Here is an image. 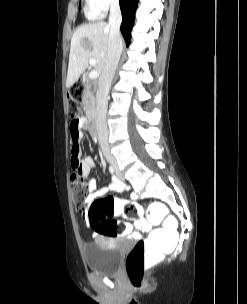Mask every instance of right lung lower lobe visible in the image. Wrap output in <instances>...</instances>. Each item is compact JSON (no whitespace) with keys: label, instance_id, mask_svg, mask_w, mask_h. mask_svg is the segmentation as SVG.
Listing matches in <instances>:
<instances>
[{"label":"right lung lower lobe","instance_id":"right-lung-lower-lobe-1","mask_svg":"<svg viewBox=\"0 0 247 304\" xmlns=\"http://www.w3.org/2000/svg\"><path fill=\"white\" fill-rule=\"evenodd\" d=\"M137 4L138 0H120V8L122 13L121 32L127 46L130 44L131 30L134 24Z\"/></svg>","mask_w":247,"mask_h":304}]
</instances>
